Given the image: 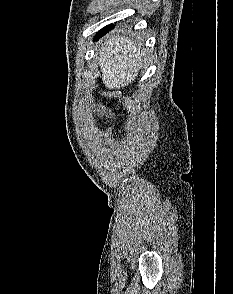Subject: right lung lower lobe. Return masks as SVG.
I'll return each mask as SVG.
<instances>
[{"mask_svg": "<svg viewBox=\"0 0 233 294\" xmlns=\"http://www.w3.org/2000/svg\"><path fill=\"white\" fill-rule=\"evenodd\" d=\"M112 28H113V25L106 26L105 28H103L102 30H100L96 34L95 39H98L99 37H101L102 35H104L105 33H107L109 30H111Z\"/></svg>", "mask_w": 233, "mask_h": 294, "instance_id": "98d812e1", "label": "right lung lower lobe"}]
</instances>
